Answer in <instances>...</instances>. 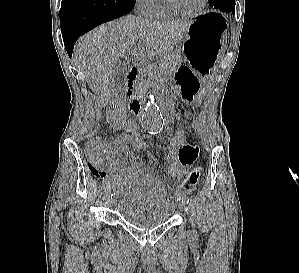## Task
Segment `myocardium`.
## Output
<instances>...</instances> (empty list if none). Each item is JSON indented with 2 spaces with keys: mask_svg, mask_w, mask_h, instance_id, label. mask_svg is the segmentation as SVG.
Wrapping results in <instances>:
<instances>
[{
  "mask_svg": "<svg viewBox=\"0 0 299 273\" xmlns=\"http://www.w3.org/2000/svg\"><path fill=\"white\" fill-rule=\"evenodd\" d=\"M167 7L174 13V14H177V15H181V16H185V17H197L199 16L203 11L204 9L206 8L207 6V2L208 0H202L201 1V4L200 6L195 10V11H192V12H188V11H184L182 9H180L175 3L173 0H164Z\"/></svg>",
  "mask_w": 299,
  "mask_h": 273,
  "instance_id": "f54148a6",
  "label": "myocardium"
}]
</instances>
